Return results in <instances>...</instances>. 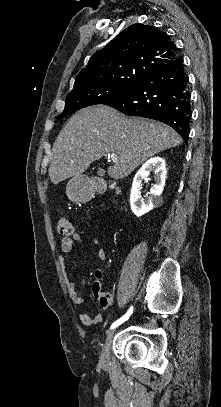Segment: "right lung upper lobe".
<instances>
[{"label": "right lung upper lobe", "instance_id": "right-lung-upper-lobe-1", "mask_svg": "<svg viewBox=\"0 0 221 407\" xmlns=\"http://www.w3.org/2000/svg\"><path fill=\"white\" fill-rule=\"evenodd\" d=\"M176 55L168 34L149 25H131L90 58L72 91L98 84L136 85Z\"/></svg>", "mask_w": 221, "mask_h": 407}]
</instances>
